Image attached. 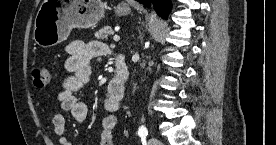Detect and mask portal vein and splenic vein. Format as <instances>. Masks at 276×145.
<instances>
[{"instance_id":"obj_1","label":"portal vein and splenic vein","mask_w":276,"mask_h":145,"mask_svg":"<svg viewBox=\"0 0 276 145\" xmlns=\"http://www.w3.org/2000/svg\"><path fill=\"white\" fill-rule=\"evenodd\" d=\"M113 40L118 42L120 40V37L118 35H114Z\"/></svg>"}]
</instances>
